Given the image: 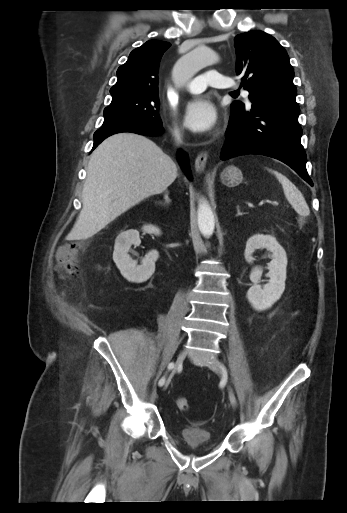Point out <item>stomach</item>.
Returning <instances> with one entry per match:
<instances>
[{
    "label": "stomach",
    "mask_w": 347,
    "mask_h": 513,
    "mask_svg": "<svg viewBox=\"0 0 347 513\" xmlns=\"http://www.w3.org/2000/svg\"><path fill=\"white\" fill-rule=\"evenodd\" d=\"M220 178L222 183L229 187L236 186L243 181L241 170L233 165L226 167L222 171Z\"/></svg>",
    "instance_id": "1"
}]
</instances>
